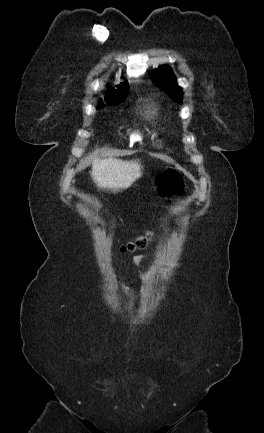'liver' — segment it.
<instances>
[{"label":"liver","instance_id":"obj_1","mask_svg":"<svg viewBox=\"0 0 264 433\" xmlns=\"http://www.w3.org/2000/svg\"><path fill=\"white\" fill-rule=\"evenodd\" d=\"M141 176L139 160L123 161L116 158H94L91 177L98 187L119 192L130 187Z\"/></svg>","mask_w":264,"mask_h":433}]
</instances>
